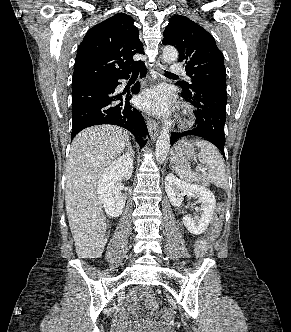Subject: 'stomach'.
<instances>
[{
	"label": "stomach",
	"instance_id": "0dacf381",
	"mask_svg": "<svg viewBox=\"0 0 291 332\" xmlns=\"http://www.w3.org/2000/svg\"><path fill=\"white\" fill-rule=\"evenodd\" d=\"M195 147L188 141H179L174 146L171 155V162L175 166L189 165L195 157Z\"/></svg>",
	"mask_w": 291,
	"mask_h": 332
}]
</instances>
